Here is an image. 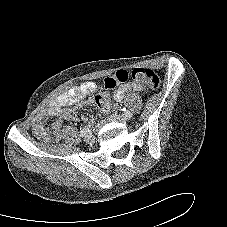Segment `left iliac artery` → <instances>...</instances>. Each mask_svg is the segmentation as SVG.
<instances>
[{"label": "left iliac artery", "mask_w": 227, "mask_h": 227, "mask_svg": "<svg viewBox=\"0 0 227 227\" xmlns=\"http://www.w3.org/2000/svg\"><path fill=\"white\" fill-rule=\"evenodd\" d=\"M123 112H124V115H129L130 113H132V112L126 110V108H123Z\"/></svg>", "instance_id": "44dca946"}]
</instances>
